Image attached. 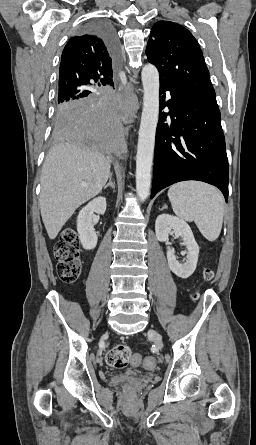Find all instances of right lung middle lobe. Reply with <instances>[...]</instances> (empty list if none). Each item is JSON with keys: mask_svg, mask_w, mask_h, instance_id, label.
Returning <instances> with one entry per match:
<instances>
[{"mask_svg": "<svg viewBox=\"0 0 256 445\" xmlns=\"http://www.w3.org/2000/svg\"><path fill=\"white\" fill-rule=\"evenodd\" d=\"M65 103H66V102H64V103H60V102H58V103H57V106H56V109H57V108H60V107L63 106Z\"/></svg>", "mask_w": 256, "mask_h": 445, "instance_id": "right-lung-middle-lobe-1", "label": "right lung middle lobe"}]
</instances>
